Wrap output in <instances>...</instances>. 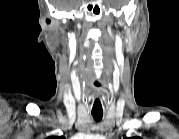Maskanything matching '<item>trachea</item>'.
<instances>
[{
  "mask_svg": "<svg viewBox=\"0 0 179 139\" xmlns=\"http://www.w3.org/2000/svg\"><path fill=\"white\" fill-rule=\"evenodd\" d=\"M95 121H100L103 117V112H92Z\"/></svg>",
  "mask_w": 179,
  "mask_h": 139,
  "instance_id": "3493384b",
  "label": "trachea"
}]
</instances>
